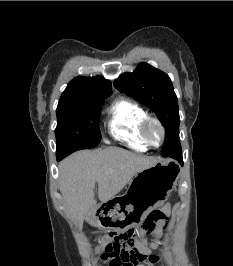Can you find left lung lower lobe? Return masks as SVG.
<instances>
[{"mask_svg": "<svg viewBox=\"0 0 233 266\" xmlns=\"http://www.w3.org/2000/svg\"><path fill=\"white\" fill-rule=\"evenodd\" d=\"M168 156L176 159L181 165H183L181 145L177 146L172 152L168 154Z\"/></svg>", "mask_w": 233, "mask_h": 266, "instance_id": "1", "label": "left lung lower lobe"}]
</instances>
